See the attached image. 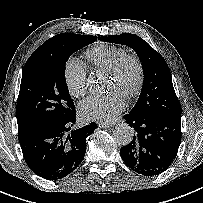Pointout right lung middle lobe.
Segmentation results:
<instances>
[{"label":"right lung middle lobe","instance_id":"1","mask_svg":"<svg viewBox=\"0 0 203 203\" xmlns=\"http://www.w3.org/2000/svg\"><path fill=\"white\" fill-rule=\"evenodd\" d=\"M96 36L73 34L52 50L31 55L21 79L16 114L18 133L59 120L74 110L65 81V64L75 51Z\"/></svg>","mask_w":203,"mask_h":203}]
</instances>
